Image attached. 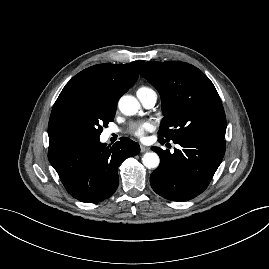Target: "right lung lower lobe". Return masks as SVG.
Masks as SVG:
<instances>
[{"instance_id":"obj_1","label":"right lung lower lobe","mask_w":269,"mask_h":269,"mask_svg":"<svg viewBox=\"0 0 269 269\" xmlns=\"http://www.w3.org/2000/svg\"><path fill=\"white\" fill-rule=\"evenodd\" d=\"M139 152V145L129 138L122 137L112 147L92 139L49 149L48 159L71 196L96 203L114 194L118 166Z\"/></svg>"}]
</instances>
